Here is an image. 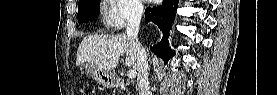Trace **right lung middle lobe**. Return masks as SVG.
I'll use <instances>...</instances> for the list:
<instances>
[{"label":"right lung middle lobe","instance_id":"obj_1","mask_svg":"<svg viewBox=\"0 0 277 95\" xmlns=\"http://www.w3.org/2000/svg\"><path fill=\"white\" fill-rule=\"evenodd\" d=\"M100 0H81L78 4V22L86 23L99 15Z\"/></svg>","mask_w":277,"mask_h":95}]
</instances>
